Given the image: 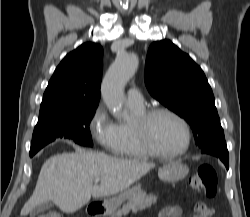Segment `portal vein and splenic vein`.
<instances>
[{
  "mask_svg": "<svg viewBox=\"0 0 250 217\" xmlns=\"http://www.w3.org/2000/svg\"><path fill=\"white\" fill-rule=\"evenodd\" d=\"M99 181H100V179H95V180H94V184H95V185L98 184Z\"/></svg>",
  "mask_w": 250,
  "mask_h": 217,
  "instance_id": "portal-vein-and-splenic-vein-1",
  "label": "portal vein and splenic vein"
}]
</instances>
